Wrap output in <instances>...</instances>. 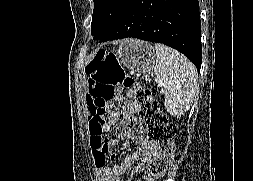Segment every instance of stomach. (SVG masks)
<instances>
[{
  "instance_id": "1",
  "label": "stomach",
  "mask_w": 253,
  "mask_h": 181,
  "mask_svg": "<svg viewBox=\"0 0 253 181\" xmlns=\"http://www.w3.org/2000/svg\"><path fill=\"white\" fill-rule=\"evenodd\" d=\"M116 58L120 65L140 73L151 71L155 65L153 46L135 39L122 41L116 51Z\"/></svg>"
}]
</instances>
